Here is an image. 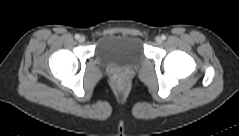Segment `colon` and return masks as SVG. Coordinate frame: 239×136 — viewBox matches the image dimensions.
<instances>
[{"label": "colon", "mask_w": 239, "mask_h": 136, "mask_svg": "<svg viewBox=\"0 0 239 136\" xmlns=\"http://www.w3.org/2000/svg\"><path fill=\"white\" fill-rule=\"evenodd\" d=\"M117 88L123 89L125 87V82L123 79H119L116 84Z\"/></svg>", "instance_id": "5ec220e1"}]
</instances>
